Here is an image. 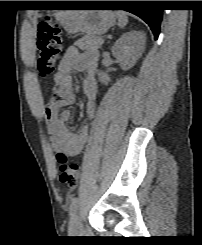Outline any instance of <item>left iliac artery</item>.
Here are the masks:
<instances>
[{
	"label": "left iliac artery",
	"mask_w": 202,
	"mask_h": 245,
	"mask_svg": "<svg viewBox=\"0 0 202 245\" xmlns=\"http://www.w3.org/2000/svg\"><path fill=\"white\" fill-rule=\"evenodd\" d=\"M78 198L77 197H74L71 201V204H70V207H69V214L70 216H72L74 214V212L76 211L77 209V206H78Z\"/></svg>",
	"instance_id": "1"
}]
</instances>
